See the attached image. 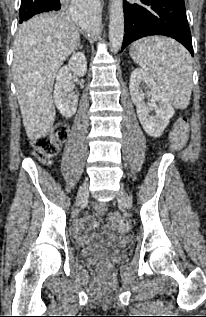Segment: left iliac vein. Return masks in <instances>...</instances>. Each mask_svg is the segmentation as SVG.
Returning a JSON list of instances; mask_svg holds the SVG:
<instances>
[{
    "label": "left iliac vein",
    "mask_w": 206,
    "mask_h": 317,
    "mask_svg": "<svg viewBox=\"0 0 206 317\" xmlns=\"http://www.w3.org/2000/svg\"><path fill=\"white\" fill-rule=\"evenodd\" d=\"M117 200L120 204L124 205L126 208L131 209L133 202L131 197L126 193V191L121 188L117 194Z\"/></svg>",
    "instance_id": "left-iliac-vein-1"
}]
</instances>
